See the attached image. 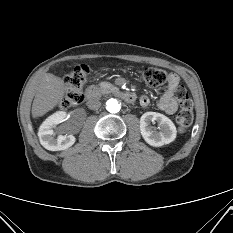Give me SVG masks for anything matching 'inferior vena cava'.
Segmentation results:
<instances>
[{
    "label": "inferior vena cava",
    "instance_id": "obj_1",
    "mask_svg": "<svg viewBox=\"0 0 233 233\" xmlns=\"http://www.w3.org/2000/svg\"><path fill=\"white\" fill-rule=\"evenodd\" d=\"M87 106L91 110H98L101 106V102L98 99L93 98L88 100Z\"/></svg>",
    "mask_w": 233,
    "mask_h": 233
}]
</instances>
